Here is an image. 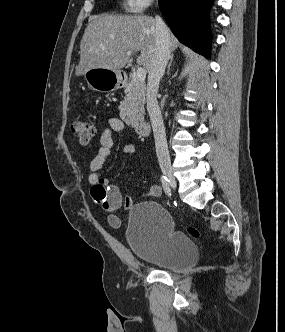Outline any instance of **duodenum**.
<instances>
[{"label": "duodenum", "instance_id": "410a0bca", "mask_svg": "<svg viewBox=\"0 0 285 332\" xmlns=\"http://www.w3.org/2000/svg\"><path fill=\"white\" fill-rule=\"evenodd\" d=\"M127 80L126 77L123 78V83H125ZM136 132L142 136V137H147L150 134L151 128L150 125L146 122L139 123L135 127Z\"/></svg>", "mask_w": 285, "mask_h": 332}]
</instances>
